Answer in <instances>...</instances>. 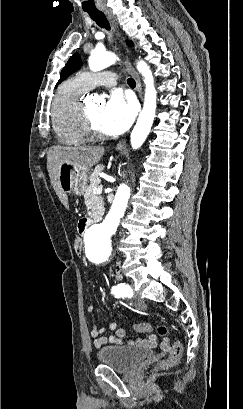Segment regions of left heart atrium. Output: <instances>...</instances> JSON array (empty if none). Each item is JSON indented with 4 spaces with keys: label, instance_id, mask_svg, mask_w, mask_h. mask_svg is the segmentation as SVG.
<instances>
[{
    "label": "left heart atrium",
    "instance_id": "obj_1",
    "mask_svg": "<svg viewBox=\"0 0 243 409\" xmlns=\"http://www.w3.org/2000/svg\"><path fill=\"white\" fill-rule=\"evenodd\" d=\"M134 116L133 103L119 94H113L100 115L101 131L107 135H119L130 127Z\"/></svg>",
    "mask_w": 243,
    "mask_h": 409
}]
</instances>
